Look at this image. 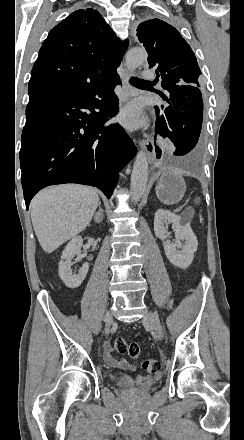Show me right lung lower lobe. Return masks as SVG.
<instances>
[{
	"label": "right lung lower lobe",
	"mask_w": 244,
	"mask_h": 440,
	"mask_svg": "<svg viewBox=\"0 0 244 440\" xmlns=\"http://www.w3.org/2000/svg\"><path fill=\"white\" fill-rule=\"evenodd\" d=\"M118 84L116 72L75 91L29 97L20 149L27 210L39 190L54 184L91 185L111 197L118 170L136 153L119 124L103 127L118 111Z\"/></svg>",
	"instance_id": "98d812e1"
}]
</instances>
